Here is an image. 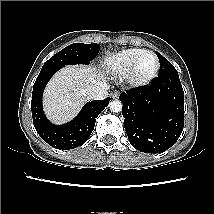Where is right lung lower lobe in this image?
Masks as SVG:
<instances>
[{"mask_svg":"<svg viewBox=\"0 0 214 214\" xmlns=\"http://www.w3.org/2000/svg\"><path fill=\"white\" fill-rule=\"evenodd\" d=\"M59 69L52 67L41 70L33 87L31 109L33 124L40 137L55 148L68 150L87 141L94 129L97 116L109 104L110 98L87 103L79 114L67 124H52L43 113L42 93L47 82Z\"/></svg>","mask_w":214,"mask_h":214,"instance_id":"98d812e1","label":"right lung lower lobe"}]
</instances>
